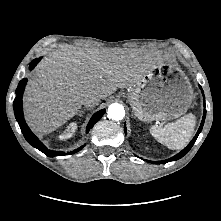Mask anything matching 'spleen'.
<instances>
[{
  "instance_id": "1",
  "label": "spleen",
  "mask_w": 221,
  "mask_h": 221,
  "mask_svg": "<svg viewBox=\"0 0 221 221\" xmlns=\"http://www.w3.org/2000/svg\"><path fill=\"white\" fill-rule=\"evenodd\" d=\"M196 125L195 116L191 113L165 126L152 125L151 135L170 149H182L191 139Z\"/></svg>"
}]
</instances>
